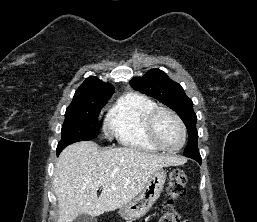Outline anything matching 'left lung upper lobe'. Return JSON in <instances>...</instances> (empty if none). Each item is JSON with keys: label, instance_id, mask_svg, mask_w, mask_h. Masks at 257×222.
<instances>
[{"label": "left lung upper lobe", "instance_id": "1", "mask_svg": "<svg viewBox=\"0 0 257 222\" xmlns=\"http://www.w3.org/2000/svg\"><path fill=\"white\" fill-rule=\"evenodd\" d=\"M130 85L135 90L159 100L180 116L189 136L184 155L194 160L201 158L197 145V117L193 111V102L185 95L181 85L171 80L165 72L159 69H151L143 77L133 78Z\"/></svg>", "mask_w": 257, "mask_h": 222}]
</instances>
